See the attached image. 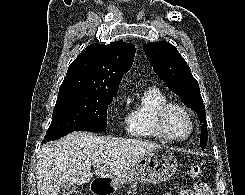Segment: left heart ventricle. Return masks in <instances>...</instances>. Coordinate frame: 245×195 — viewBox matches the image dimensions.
Segmentation results:
<instances>
[{
    "label": "left heart ventricle",
    "instance_id": "left-heart-ventricle-1",
    "mask_svg": "<svg viewBox=\"0 0 245 195\" xmlns=\"http://www.w3.org/2000/svg\"><path fill=\"white\" fill-rule=\"evenodd\" d=\"M164 124L168 134L173 137H183L189 131V121L186 115L178 109H171L167 113Z\"/></svg>",
    "mask_w": 245,
    "mask_h": 195
}]
</instances>
